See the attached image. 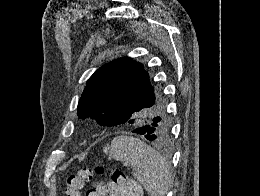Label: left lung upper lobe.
<instances>
[{
  "instance_id": "left-lung-upper-lobe-1",
  "label": "left lung upper lobe",
  "mask_w": 260,
  "mask_h": 196,
  "mask_svg": "<svg viewBox=\"0 0 260 196\" xmlns=\"http://www.w3.org/2000/svg\"><path fill=\"white\" fill-rule=\"evenodd\" d=\"M114 106L134 108L133 116L125 122L131 129L152 123V141H170L171 121L164 96L152 85L141 63L119 58L100 67L87 81L78 103V116L97 120Z\"/></svg>"
}]
</instances>
